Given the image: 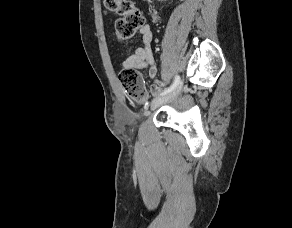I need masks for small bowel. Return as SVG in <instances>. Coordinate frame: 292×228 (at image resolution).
I'll return each mask as SVG.
<instances>
[{"mask_svg": "<svg viewBox=\"0 0 292 228\" xmlns=\"http://www.w3.org/2000/svg\"><path fill=\"white\" fill-rule=\"evenodd\" d=\"M139 33L142 39V46L136 48L122 63V69L135 68L139 71L148 70V74L152 79L157 78L158 69L152 51L153 33L149 24H144ZM163 84L155 83L151 86L150 91L153 95L158 94Z\"/></svg>", "mask_w": 292, "mask_h": 228, "instance_id": "c3829d8e", "label": "small bowel"}]
</instances>
